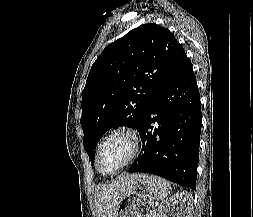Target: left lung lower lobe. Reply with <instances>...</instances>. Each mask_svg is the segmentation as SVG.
Instances as JSON below:
<instances>
[{
  "instance_id": "obj_1",
  "label": "left lung lower lobe",
  "mask_w": 253,
  "mask_h": 217,
  "mask_svg": "<svg viewBox=\"0 0 253 217\" xmlns=\"http://www.w3.org/2000/svg\"><path fill=\"white\" fill-rule=\"evenodd\" d=\"M137 130L143 146L129 172L155 174L196 189L201 106L187 56L154 95Z\"/></svg>"
}]
</instances>
